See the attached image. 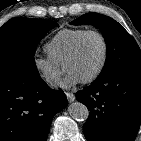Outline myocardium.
<instances>
[{"mask_svg":"<svg viewBox=\"0 0 141 141\" xmlns=\"http://www.w3.org/2000/svg\"><path fill=\"white\" fill-rule=\"evenodd\" d=\"M89 35H96L100 38L102 45H103V56H102V61L101 64L99 66V68L96 70V72L94 74H92L90 77L82 80L83 83L85 84H89V83H93L94 81H96L104 72L107 62H108V54H109V47H108V42L105 38V36L98 30H87L85 31L75 42L72 50L70 51V53L68 54L66 60H65V67L66 65L72 61L74 58H76V56L78 55L81 46L84 42V40L89 36Z\"/></svg>","mask_w":141,"mask_h":141,"instance_id":"obj_1","label":"myocardium"}]
</instances>
